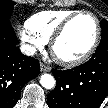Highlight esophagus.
<instances>
[{"label":"esophagus","instance_id":"esophagus-1","mask_svg":"<svg viewBox=\"0 0 108 108\" xmlns=\"http://www.w3.org/2000/svg\"><path fill=\"white\" fill-rule=\"evenodd\" d=\"M40 69L42 72H49L51 68L44 63H40Z\"/></svg>","mask_w":108,"mask_h":108}]
</instances>
